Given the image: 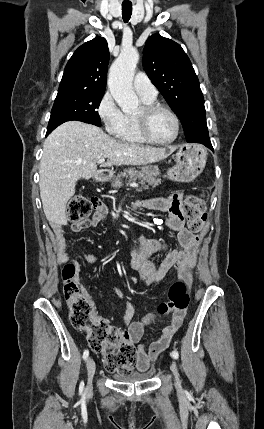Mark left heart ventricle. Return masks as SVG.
I'll use <instances>...</instances> for the list:
<instances>
[{
	"mask_svg": "<svg viewBox=\"0 0 264 429\" xmlns=\"http://www.w3.org/2000/svg\"><path fill=\"white\" fill-rule=\"evenodd\" d=\"M141 110L138 112V114ZM151 135L159 141L171 139L175 133V123L172 117L166 112L159 111L154 113L149 121Z\"/></svg>",
	"mask_w": 264,
	"mask_h": 429,
	"instance_id": "1",
	"label": "left heart ventricle"
}]
</instances>
